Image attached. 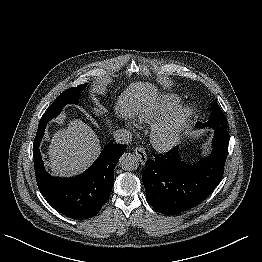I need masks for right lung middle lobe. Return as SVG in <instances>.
Returning <instances> with one entry per match:
<instances>
[{"instance_id":"1","label":"right lung middle lobe","mask_w":262,"mask_h":262,"mask_svg":"<svg viewBox=\"0 0 262 262\" xmlns=\"http://www.w3.org/2000/svg\"><path fill=\"white\" fill-rule=\"evenodd\" d=\"M86 85L87 83L79 85L75 88L67 89L61 93L51 104V106H49L47 111L42 116V119H51L58 116L66 104H77L79 101V95Z\"/></svg>"}]
</instances>
